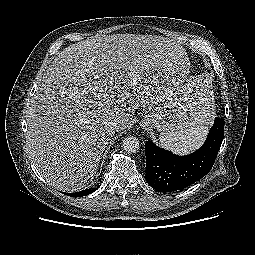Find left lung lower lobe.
Returning <instances> with one entry per match:
<instances>
[{
	"label": "left lung lower lobe",
	"instance_id": "0a47b994",
	"mask_svg": "<svg viewBox=\"0 0 255 255\" xmlns=\"http://www.w3.org/2000/svg\"><path fill=\"white\" fill-rule=\"evenodd\" d=\"M224 137V120L216 117L205 143L194 153L178 156L147 141L146 180L155 190L184 189L211 170Z\"/></svg>",
	"mask_w": 255,
	"mask_h": 255
}]
</instances>
